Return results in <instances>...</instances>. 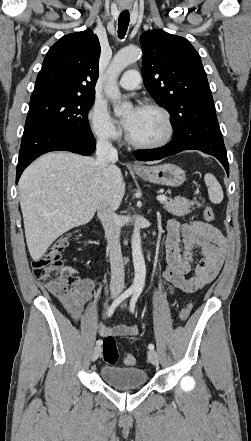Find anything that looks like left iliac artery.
<instances>
[{"label": "left iliac artery", "mask_w": 251, "mask_h": 441, "mask_svg": "<svg viewBox=\"0 0 251 441\" xmlns=\"http://www.w3.org/2000/svg\"><path fill=\"white\" fill-rule=\"evenodd\" d=\"M141 292H142L141 289H137V290H135L134 295H133L132 298H131V301H130V311H131L132 313H134L135 305H136L137 299H138V297L140 296ZM148 348H149L150 350H154V345H153V344H149V345H148Z\"/></svg>", "instance_id": "1"}]
</instances>
